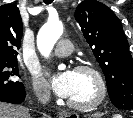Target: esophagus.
<instances>
[{
    "mask_svg": "<svg viewBox=\"0 0 133 118\" xmlns=\"http://www.w3.org/2000/svg\"><path fill=\"white\" fill-rule=\"evenodd\" d=\"M59 115H60V118H79L77 114L70 113L67 111H61Z\"/></svg>",
    "mask_w": 133,
    "mask_h": 118,
    "instance_id": "1",
    "label": "esophagus"
}]
</instances>
